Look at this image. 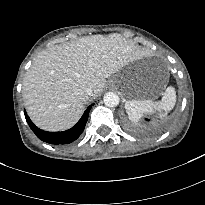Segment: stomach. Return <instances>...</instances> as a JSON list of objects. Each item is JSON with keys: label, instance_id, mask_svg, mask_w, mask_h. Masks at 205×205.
<instances>
[{"label": "stomach", "instance_id": "0dacf381", "mask_svg": "<svg viewBox=\"0 0 205 205\" xmlns=\"http://www.w3.org/2000/svg\"><path fill=\"white\" fill-rule=\"evenodd\" d=\"M142 72V66L139 63H132L122 69L110 84L127 99H156L163 93L167 79L164 81L148 80L143 77Z\"/></svg>", "mask_w": 205, "mask_h": 205}]
</instances>
